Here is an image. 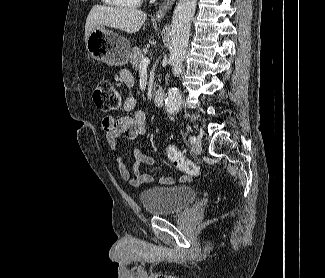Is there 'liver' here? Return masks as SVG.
<instances>
[{
  "label": "liver",
  "mask_w": 325,
  "mask_h": 278,
  "mask_svg": "<svg viewBox=\"0 0 325 278\" xmlns=\"http://www.w3.org/2000/svg\"><path fill=\"white\" fill-rule=\"evenodd\" d=\"M146 18L147 14L138 9L95 5L86 19L85 43L96 27L108 26L132 34L141 29Z\"/></svg>",
  "instance_id": "1"
}]
</instances>
